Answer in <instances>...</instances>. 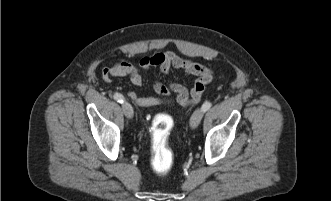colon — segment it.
Here are the masks:
<instances>
[{"label": "colon", "mask_w": 331, "mask_h": 201, "mask_svg": "<svg viewBox=\"0 0 331 201\" xmlns=\"http://www.w3.org/2000/svg\"><path fill=\"white\" fill-rule=\"evenodd\" d=\"M211 76L199 77L191 91V96L182 104L197 103ZM172 126L171 118L165 114H157L152 120V168L160 175L166 174L173 164V155L167 145V138Z\"/></svg>", "instance_id": "1"}]
</instances>
